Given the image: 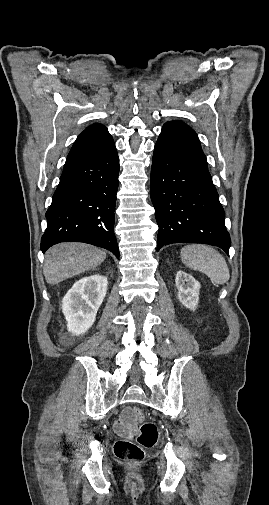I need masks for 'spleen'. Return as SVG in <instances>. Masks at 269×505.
<instances>
[{
    "instance_id": "1",
    "label": "spleen",
    "mask_w": 269,
    "mask_h": 505,
    "mask_svg": "<svg viewBox=\"0 0 269 505\" xmlns=\"http://www.w3.org/2000/svg\"><path fill=\"white\" fill-rule=\"evenodd\" d=\"M182 262L193 270L206 274L215 284H224L230 279L225 258L214 248L203 244H190L181 249Z\"/></svg>"
}]
</instances>
